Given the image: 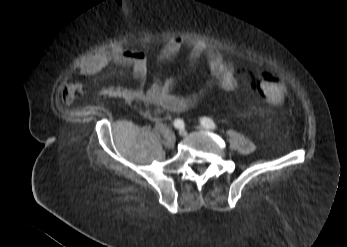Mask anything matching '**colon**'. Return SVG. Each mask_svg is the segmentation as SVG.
Wrapping results in <instances>:
<instances>
[{
	"label": "colon",
	"mask_w": 347,
	"mask_h": 247,
	"mask_svg": "<svg viewBox=\"0 0 347 247\" xmlns=\"http://www.w3.org/2000/svg\"><path fill=\"white\" fill-rule=\"evenodd\" d=\"M257 87L263 100L271 105H280L287 98L286 85L272 69H263L257 74Z\"/></svg>",
	"instance_id": "5ec220e1"
}]
</instances>
